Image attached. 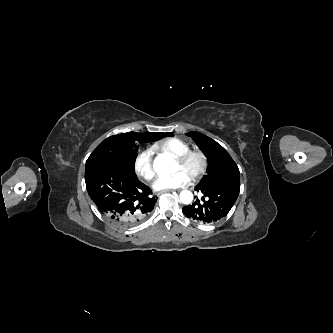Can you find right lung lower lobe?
Masks as SVG:
<instances>
[{
  "label": "right lung lower lobe",
  "mask_w": 333,
  "mask_h": 333,
  "mask_svg": "<svg viewBox=\"0 0 333 333\" xmlns=\"http://www.w3.org/2000/svg\"><path fill=\"white\" fill-rule=\"evenodd\" d=\"M85 182L98 210L119 228L131 227L144 220L157 200L137 177L114 167H86Z\"/></svg>",
  "instance_id": "obj_1"
}]
</instances>
